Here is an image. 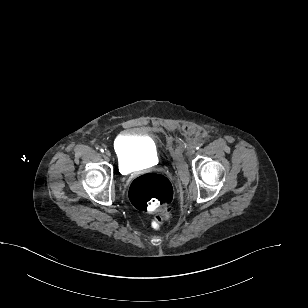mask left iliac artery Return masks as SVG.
I'll return each instance as SVG.
<instances>
[{"instance_id":"1","label":"left iliac artery","mask_w":308,"mask_h":308,"mask_svg":"<svg viewBox=\"0 0 308 308\" xmlns=\"http://www.w3.org/2000/svg\"><path fill=\"white\" fill-rule=\"evenodd\" d=\"M201 146H202L201 143H197V144H196V149H199Z\"/></svg>"}]
</instances>
